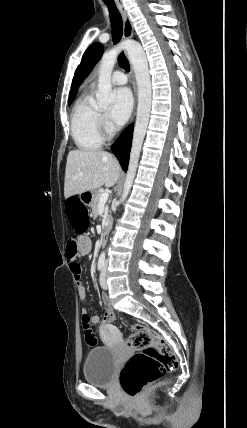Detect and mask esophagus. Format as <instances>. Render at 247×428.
Masks as SVG:
<instances>
[{
	"mask_svg": "<svg viewBox=\"0 0 247 428\" xmlns=\"http://www.w3.org/2000/svg\"><path fill=\"white\" fill-rule=\"evenodd\" d=\"M118 8H119L120 13H121L122 18H123V36L126 39L132 38L133 34H134V29H133V24H132V22L128 16V13L122 5L118 4ZM130 74H131L132 90H133V95H134V100H135L134 110H133V114H132L131 121H130V123H132L134 120V117H135V113H136V102H137V87H136V80H135V75H134V71H133L132 66H131Z\"/></svg>",
	"mask_w": 247,
	"mask_h": 428,
	"instance_id": "34e87169",
	"label": "esophagus"
}]
</instances>
